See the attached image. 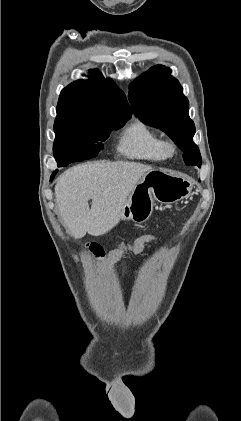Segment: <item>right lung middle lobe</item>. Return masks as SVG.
<instances>
[{"label":"right lung middle lobe","instance_id":"dd1d6c3e","mask_svg":"<svg viewBox=\"0 0 241 421\" xmlns=\"http://www.w3.org/2000/svg\"><path fill=\"white\" fill-rule=\"evenodd\" d=\"M128 119L104 117L90 122L56 119L53 152L58 167L96 157L111 131L121 128Z\"/></svg>","mask_w":241,"mask_h":421}]
</instances>
